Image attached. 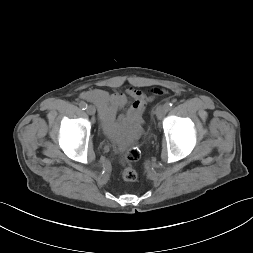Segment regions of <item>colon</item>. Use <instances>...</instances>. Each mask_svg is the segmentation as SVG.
Segmentation results:
<instances>
[{
	"mask_svg": "<svg viewBox=\"0 0 253 253\" xmlns=\"http://www.w3.org/2000/svg\"><path fill=\"white\" fill-rule=\"evenodd\" d=\"M139 158L140 150L138 147H133L126 153L121 168V175L124 180L135 181L137 179V172L133 164L138 161Z\"/></svg>",
	"mask_w": 253,
	"mask_h": 253,
	"instance_id": "1",
	"label": "colon"
}]
</instances>
